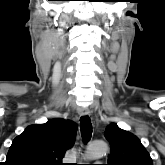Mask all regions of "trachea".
<instances>
[{
    "mask_svg": "<svg viewBox=\"0 0 165 165\" xmlns=\"http://www.w3.org/2000/svg\"><path fill=\"white\" fill-rule=\"evenodd\" d=\"M80 130L83 141L87 143L92 136V124L88 116H83L80 119Z\"/></svg>",
    "mask_w": 165,
    "mask_h": 165,
    "instance_id": "3493384b",
    "label": "trachea"
}]
</instances>
